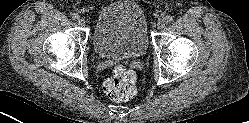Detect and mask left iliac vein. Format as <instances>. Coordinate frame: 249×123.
I'll return each mask as SVG.
<instances>
[{
	"label": "left iliac vein",
	"instance_id": "left-iliac-vein-1",
	"mask_svg": "<svg viewBox=\"0 0 249 123\" xmlns=\"http://www.w3.org/2000/svg\"><path fill=\"white\" fill-rule=\"evenodd\" d=\"M157 27H158V29H163L165 27V21L163 19H160L157 22Z\"/></svg>",
	"mask_w": 249,
	"mask_h": 123
}]
</instances>
